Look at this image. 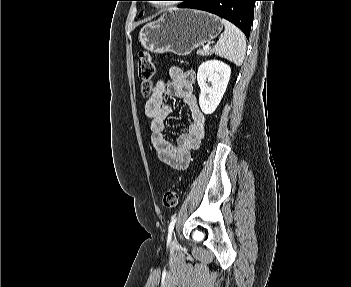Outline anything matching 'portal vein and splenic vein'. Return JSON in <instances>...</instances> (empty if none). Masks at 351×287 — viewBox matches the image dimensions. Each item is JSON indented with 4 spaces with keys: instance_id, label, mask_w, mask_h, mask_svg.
Wrapping results in <instances>:
<instances>
[{
    "instance_id": "portal-vein-and-splenic-vein-1",
    "label": "portal vein and splenic vein",
    "mask_w": 351,
    "mask_h": 287,
    "mask_svg": "<svg viewBox=\"0 0 351 287\" xmlns=\"http://www.w3.org/2000/svg\"><path fill=\"white\" fill-rule=\"evenodd\" d=\"M203 48H204V49H208V48H209V45H206V46H204Z\"/></svg>"
}]
</instances>
